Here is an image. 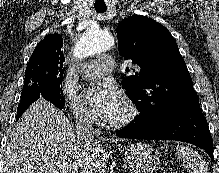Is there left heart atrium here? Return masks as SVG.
Masks as SVG:
<instances>
[{
  "label": "left heart atrium",
  "mask_w": 219,
  "mask_h": 173,
  "mask_svg": "<svg viewBox=\"0 0 219 173\" xmlns=\"http://www.w3.org/2000/svg\"><path fill=\"white\" fill-rule=\"evenodd\" d=\"M88 99L97 115L104 120L111 117L122 101L120 92L110 82L94 85L89 91Z\"/></svg>",
  "instance_id": "left-heart-atrium-1"
}]
</instances>
